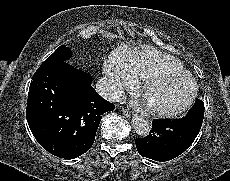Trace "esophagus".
<instances>
[{"label":"esophagus","mask_w":230,"mask_h":181,"mask_svg":"<svg viewBox=\"0 0 230 181\" xmlns=\"http://www.w3.org/2000/svg\"><path fill=\"white\" fill-rule=\"evenodd\" d=\"M122 113L124 114V116L126 117H131L132 116V111L128 108H123L122 109Z\"/></svg>","instance_id":"34e87169"}]
</instances>
